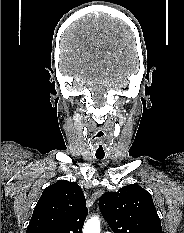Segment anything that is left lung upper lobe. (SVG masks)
Instances as JSON below:
<instances>
[{"mask_svg": "<svg viewBox=\"0 0 184 233\" xmlns=\"http://www.w3.org/2000/svg\"><path fill=\"white\" fill-rule=\"evenodd\" d=\"M99 208L114 233H163L151 194L136 183L102 195Z\"/></svg>", "mask_w": 184, "mask_h": 233, "instance_id": "left-lung-upper-lobe-1", "label": "left lung upper lobe"}]
</instances>
